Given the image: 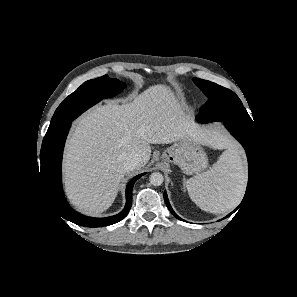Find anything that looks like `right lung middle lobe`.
Returning <instances> with one entry per match:
<instances>
[{
    "mask_svg": "<svg viewBox=\"0 0 297 297\" xmlns=\"http://www.w3.org/2000/svg\"><path fill=\"white\" fill-rule=\"evenodd\" d=\"M123 88L122 82L109 78L108 75L86 81L59 105L46 134L61 129L99 100L112 97Z\"/></svg>",
    "mask_w": 297,
    "mask_h": 297,
    "instance_id": "obj_1",
    "label": "right lung middle lobe"
}]
</instances>
